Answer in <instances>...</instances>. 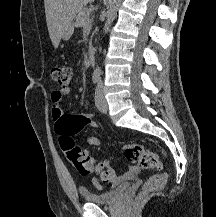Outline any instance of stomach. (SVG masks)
<instances>
[{
    "label": "stomach",
    "instance_id": "0dacf381",
    "mask_svg": "<svg viewBox=\"0 0 216 217\" xmlns=\"http://www.w3.org/2000/svg\"><path fill=\"white\" fill-rule=\"evenodd\" d=\"M73 31H74V24H71L65 31L64 35H63V39L64 40H68L72 34H73Z\"/></svg>",
    "mask_w": 216,
    "mask_h": 217
}]
</instances>
